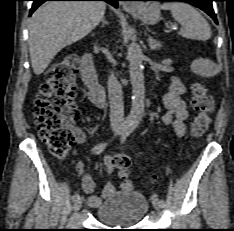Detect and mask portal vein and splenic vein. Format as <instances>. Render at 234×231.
<instances>
[{
	"instance_id": "obj_1",
	"label": "portal vein and splenic vein",
	"mask_w": 234,
	"mask_h": 231,
	"mask_svg": "<svg viewBox=\"0 0 234 231\" xmlns=\"http://www.w3.org/2000/svg\"><path fill=\"white\" fill-rule=\"evenodd\" d=\"M172 29H177V25H173V26H172Z\"/></svg>"
}]
</instances>
